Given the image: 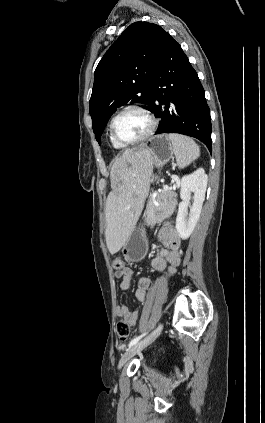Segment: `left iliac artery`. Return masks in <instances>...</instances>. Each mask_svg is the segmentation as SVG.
<instances>
[{
	"mask_svg": "<svg viewBox=\"0 0 265 423\" xmlns=\"http://www.w3.org/2000/svg\"><path fill=\"white\" fill-rule=\"evenodd\" d=\"M147 333H143L142 335L132 339L129 343V347L135 345L142 337H144Z\"/></svg>",
	"mask_w": 265,
	"mask_h": 423,
	"instance_id": "obj_1",
	"label": "left iliac artery"
}]
</instances>
